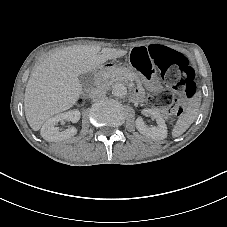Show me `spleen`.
<instances>
[{"label":"spleen","mask_w":227,"mask_h":227,"mask_svg":"<svg viewBox=\"0 0 227 227\" xmlns=\"http://www.w3.org/2000/svg\"><path fill=\"white\" fill-rule=\"evenodd\" d=\"M196 116H197V113L195 110L182 114L178 118L176 126L173 129V132H172L173 136L177 137V136H180L181 134H183L189 128V126L193 123Z\"/></svg>","instance_id":"1"}]
</instances>
